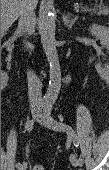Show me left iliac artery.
Returning <instances> with one entry per match:
<instances>
[{
    "instance_id": "obj_1",
    "label": "left iliac artery",
    "mask_w": 109,
    "mask_h": 170,
    "mask_svg": "<svg viewBox=\"0 0 109 170\" xmlns=\"http://www.w3.org/2000/svg\"><path fill=\"white\" fill-rule=\"evenodd\" d=\"M51 104H48L45 109H44V114L47 117V119L56 127L65 129L67 131L68 136H70L73 139V143L75 147L79 146V142H78V138L75 134V131L72 129V127H70L69 125L62 123V122H57L55 121L51 116H50V112H51ZM79 163L81 164V166L83 165V159L79 158L78 159Z\"/></svg>"
}]
</instances>
